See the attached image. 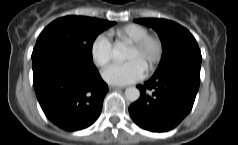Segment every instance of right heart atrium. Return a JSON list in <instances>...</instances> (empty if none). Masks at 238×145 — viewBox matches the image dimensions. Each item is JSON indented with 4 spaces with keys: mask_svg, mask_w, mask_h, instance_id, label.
<instances>
[{
    "mask_svg": "<svg viewBox=\"0 0 238 145\" xmlns=\"http://www.w3.org/2000/svg\"><path fill=\"white\" fill-rule=\"evenodd\" d=\"M90 55L93 62L99 67H105L112 61V45L105 34H100L94 38L90 46Z\"/></svg>",
    "mask_w": 238,
    "mask_h": 145,
    "instance_id": "right-heart-atrium-1",
    "label": "right heart atrium"
}]
</instances>
